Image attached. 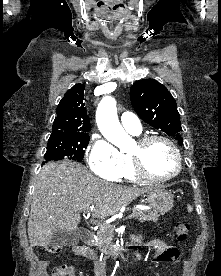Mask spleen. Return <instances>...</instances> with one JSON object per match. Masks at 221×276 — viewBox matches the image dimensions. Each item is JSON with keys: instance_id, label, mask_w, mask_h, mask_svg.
<instances>
[{"instance_id": "spleen-1", "label": "spleen", "mask_w": 221, "mask_h": 276, "mask_svg": "<svg viewBox=\"0 0 221 276\" xmlns=\"http://www.w3.org/2000/svg\"><path fill=\"white\" fill-rule=\"evenodd\" d=\"M187 210H188V212H191L192 211V206L191 205H187Z\"/></svg>"}]
</instances>
